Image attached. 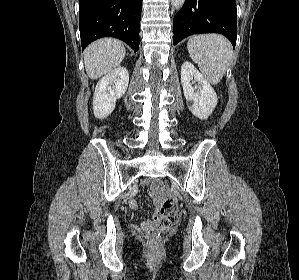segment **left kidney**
I'll use <instances>...</instances> for the list:
<instances>
[{"mask_svg": "<svg viewBox=\"0 0 299 280\" xmlns=\"http://www.w3.org/2000/svg\"><path fill=\"white\" fill-rule=\"evenodd\" d=\"M194 82L197 85L192 86ZM192 81V82H191ZM181 83L189 109L199 119H207L217 105V95L204 76L188 61L181 67Z\"/></svg>", "mask_w": 299, "mask_h": 280, "instance_id": "left-kidney-1", "label": "left kidney"}]
</instances>
